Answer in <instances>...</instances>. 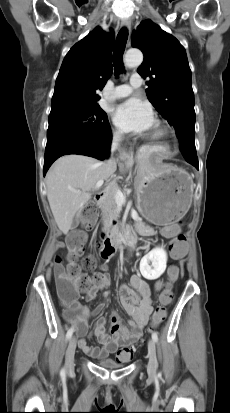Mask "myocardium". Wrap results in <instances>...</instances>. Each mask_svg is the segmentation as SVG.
I'll list each match as a JSON object with an SVG mask.
<instances>
[{
	"label": "myocardium",
	"instance_id": "myocardium-1",
	"mask_svg": "<svg viewBox=\"0 0 230 413\" xmlns=\"http://www.w3.org/2000/svg\"><path fill=\"white\" fill-rule=\"evenodd\" d=\"M164 133H165L164 130L160 127L159 123H157L155 126V130L152 134V137L154 139H159L164 135Z\"/></svg>",
	"mask_w": 230,
	"mask_h": 413
}]
</instances>
